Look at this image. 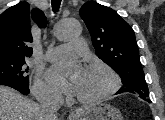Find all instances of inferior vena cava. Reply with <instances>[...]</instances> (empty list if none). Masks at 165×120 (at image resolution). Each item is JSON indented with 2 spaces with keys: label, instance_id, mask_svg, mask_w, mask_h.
Here are the masks:
<instances>
[{
  "label": "inferior vena cava",
  "instance_id": "1",
  "mask_svg": "<svg viewBox=\"0 0 165 120\" xmlns=\"http://www.w3.org/2000/svg\"><path fill=\"white\" fill-rule=\"evenodd\" d=\"M40 103L41 120H56V112L58 111L62 99L58 94L49 92H41L38 95Z\"/></svg>",
  "mask_w": 165,
  "mask_h": 120
}]
</instances>
